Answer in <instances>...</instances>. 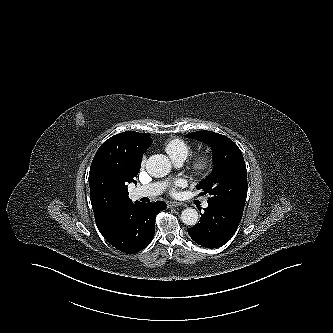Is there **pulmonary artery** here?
I'll return each mask as SVG.
<instances>
[{"label": "pulmonary artery", "instance_id": "pulmonary-artery-1", "mask_svg": "<svg viewBox=\"0 0 333 333\" xmlns=\"http://www.w3.org/2000/svg\"><path fill=\"white\" fill-rule=\"evenodd\" d=\"M184 160H176L174 163L177 166H181ZM166 187L165 182H155L148 185L140 186L134 189L133 194L137 198L141 197H154L161 194ZM208 206V202H203V207L206 208Z\"/></svg>", "mask_w": 333, "mask_h": 333}]
</instances>
